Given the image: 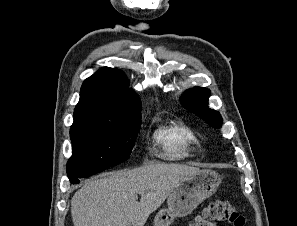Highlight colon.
I'll use <instances>...</instances> for the list:
<instances>
[{
	"label": "colon",
	"instance_id": "obj_1",
	"mask_svg": "<svg viewBox=\"0 0 297 226\" xmlns=\"http://www.w3.org/2000/svg\"><path fill=\"white\" fill-rule=\"evenodd\" d=\"M227 223L230 226H244L242 214L229 202L214 200L191 222L190 226H219Z\"/></svg>",
	"mask_w": 297,
	"mask_h": 226
}]
</instances>
